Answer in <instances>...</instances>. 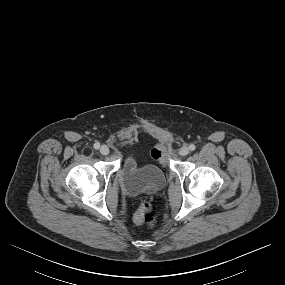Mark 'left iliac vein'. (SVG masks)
<instances>
[{"instance_id":"4c4485c4","label":"left iliac vein","mask_w":285,"mask_h":285,"mask_svg":"<svg viewBox=\"0 0 285 285\" xmlns=\"http://www.w3.org/2000/svg\"><path fill=\"white\" fill-rule=\"evenodd\" d=\"M179 154L181 156H187L189 154V148L187 146H183L179 150Z\"/></svg>"}]
</instances>
